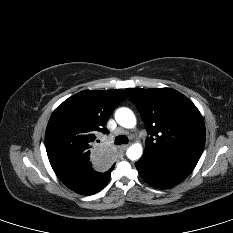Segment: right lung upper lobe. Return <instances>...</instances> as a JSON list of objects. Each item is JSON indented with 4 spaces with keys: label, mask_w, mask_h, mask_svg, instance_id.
Segmentation results:
<instances>
[{
    "label": "right lung upper lobe",
    "mask_w": 233,
    "mask_h": 233,
    "mask_svg": "<svg viewBox=\"0 0 233 233\" xmlns=\"http://www.w3.org/2000/svg\"><path fill=\"white\" fill-rule=\"evenodd\" d=\"M126 97L122 90H84L54 110L45 146L55 172L89 166L100 172L111 168L114 158L105 147L103 133H109L107 119Z\"/></svg>",
    "instance_id": "1"
}]
</instances>
